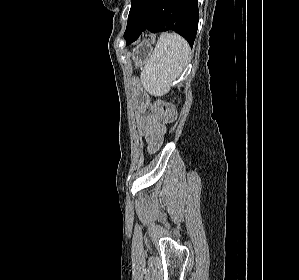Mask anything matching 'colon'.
Returning <instances> with one entry per match:
<instances>
[{
    "label": "colon",
    "instance_id": "1",
    "mask_svg": "<svg viewBox=\"0 0 299 280\" xmlns=\"http://www.w3.org/2000/svg\"><path fill=\"white\" fill-rule=\"evenodd\" d=\"M159 105L164 112V115H163L164 119L167 121H173L176 116L174 106L167 102H160Z\"/></svg>",
    "mask_w": 299,
    "mask_h": 280
}]
</instances>
